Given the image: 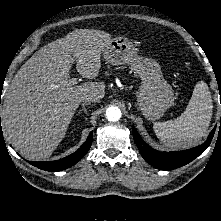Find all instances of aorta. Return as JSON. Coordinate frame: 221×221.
I'll use <instances>...</instances> for the list:
<instances>
[{
  "instance_id": "aorta-1",
  "label": "aorta",
  "mask_w": 221,
  "mask_h": 221,
  "mask_svg": "<svg viewBox=\"0 0 221 221\" xmlns=\"http://www.w3.org/2000/svg\"><path fill=\"white\" fill-rule=\"evenodd\" d=\"M106 117L108 121L116 122L121 118V111L117 107H109L106 110Z\"/></svg>"
}]
</instances>
